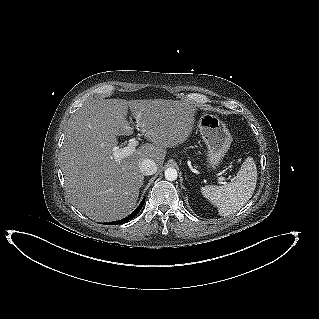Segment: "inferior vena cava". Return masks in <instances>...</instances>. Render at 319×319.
<instances>
[{
    "label": "inferior vena cava",
    "mask_w": 319,
    "mask_h": 319,
    "mask_svg": "<svg viewBox=\"0 0 319 319\" xmlns=\"http://www.w3.org/2000/svg\"><path fill=\"white\" fill-rule=\"evenodd\" d=\"M139 169L143 175H153L157 171V165L152 159H144L139 163Z\"/></svg>",
    "instance_id": "obj_1"
}]
</instances>
